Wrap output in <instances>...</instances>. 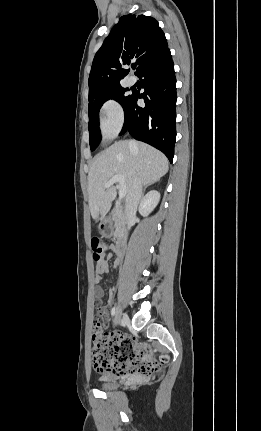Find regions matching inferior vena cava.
I'll list each match as a JSON object with an SVG mask.
<instances>
[{
  "mask_svg": "<svg viewBox=\"0 0 261 431\" xmlns=\"http://www.w3.org/2000/svg\"><path fill=\"white\" fill-rule=\"evenodd\" d=\"M143 183L139 178L135 179L132 189L128 192L125 201V219L127 223V228L130 230L134 217L137 212L138 204L140 203L143 193H142Z\"/></svg>",
  "mask_w": 261,
  "mask_h": 431,
  "instance_id": "obj_1",
  "label": "inferior vena cava"
}]
</instances>
